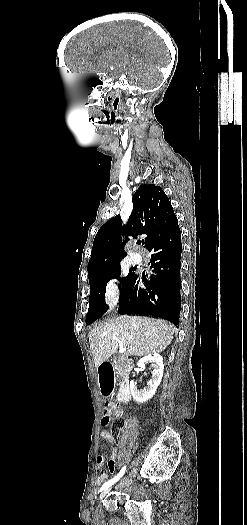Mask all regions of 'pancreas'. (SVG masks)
Instances as JSON below:
<instances>
[{
	"label": "pancreas",
	"instance_id": "pancreas-1",
	"mask_svg": "<svg viewBox=\"0 0 247 525\" xmlns=\"http://www.w3.org/2000/svg\"><path fill=\"white\" fill-rule=\"evenodd\" d=\"M115 369H116V371H118V373H120V375H121V369H120V367H118V365H115Z\"/></svg>",
	"mask_w": 247,
	"mask_h": 525
}]
</instances>
